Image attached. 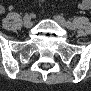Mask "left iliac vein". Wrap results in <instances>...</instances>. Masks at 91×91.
Here are the masks:
<instances>
[{"mask_svg":"<svg viewBox=\"0 0 91 91\" xmlns=\"http://www.w3.org/2000/svg\"><path fill=\"white\" fill-rule=\"evenodd\" d=\"M54 19L56 20V22L58 23V24H60V25H62V26H64V27H66L67 28V26H66V20L62 17V16H60V15H55L54 16Z\"/></svg>","mask_w":91,"mask_h":91,"instance_id":"obj_1","label":"left iliac vein"}]
</instances>
